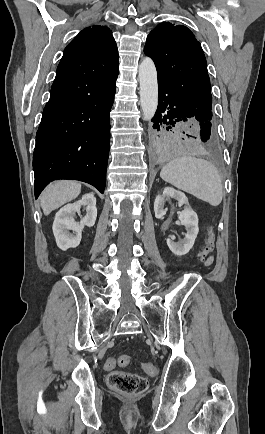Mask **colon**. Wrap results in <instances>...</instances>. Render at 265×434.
I'll use <instances>...</instances> for the list:
<instances>
[{"instance_id":"1","label":"colon","mask_w":265,"mask_h":434,"mask_svg":"<svg viewBox=\"0 0 265 434\" xmlns=\"http://www.w3.org/2000/svg\"><path fill=\"white\" fill-rule=\"evenodd\" d=\"M214 233H209L203 243L201 250L197 253V259L204 263L207 261L209 252L213 243ZM130 359L127 356L119 355L114 358H109L104 361L103 368L112 370L116 365L124 366L129 363ZM142 370L150 377L158 375V368L150 363H142ZM107 384L114 390L123 393L141 394L147 391L148 381L135 373L112 371L107 376Z\"/></svg>"}]
</instances>
